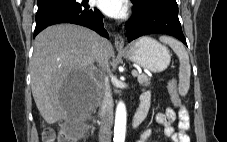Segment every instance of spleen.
<instances>
[{"label": "spleen", "instance_id": "1", "mask_svg": "<svg viewBox=\"0 0 227 142\" xmlns=\"http://www.w3.org/2000/svg\"><path fill=\"white\" fill-rule=\"evenodd\" d=\"M160 41L165 44H168L179 58L180 67L178 90L180 95L185 96L188 93L190 87L191 75V67L189 63L188 53L182 43L171 37L162 36L160 37Z\"/></svg>", "mask_w": 227, "mask_h": 142}]
</instances>
